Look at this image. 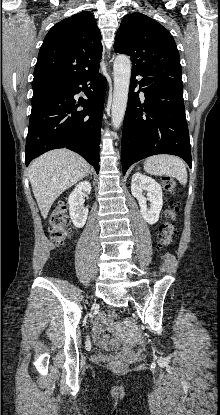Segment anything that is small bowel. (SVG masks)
I'll list each match as a JSON object with an SVG mask.
<instances>
[{
	"label": "small bowel",
	"instance_id": "obj_1",
	"mask_svg": "<svg viewBox=\"0 0 220 415\" xmlns=\"http://www.w3.org/2000/svg\"><path fill=\"white\" fill-rule=\"evenodd\" d=\"M108 325L104 321L103 315L100 316V320L95 322L91 327V335L94 342L104 349L111 347V340L106 336Z\"/></svg>",
	"mask_w": 220,
	"mask_h": 415
}]
</instances>
